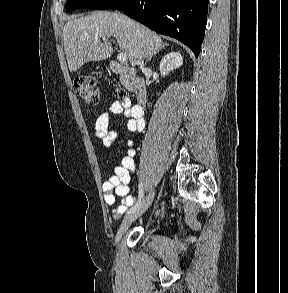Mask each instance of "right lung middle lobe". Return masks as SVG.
<instances>
[{"instance_id": "obj_1", "label": "right lung middle lobe", "mask_w": 288, "mask_h": 293, "mask_svg": "<svg viewBox=\"0 0 288 293\" xmlns=\"http://www.w3.org/2000/svg\"><path fill=\"white\" fill-rule=\"evenodd\" d=\"M121 0H67L65 8L72 11L79 8L89 9H110Z\"/></svg>"}]
</instances>
